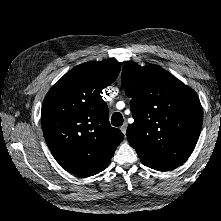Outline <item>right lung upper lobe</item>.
<instances>
[{
  "instance_id": "cb5924a9",
  "label": "right lung upper lobe",
  "mask_w": 221,
  "mask_h": 221,
  "mask_svg": "<svg viewBox=\"0 0 221 221\" xmlns=\"http://www.w3.org/2000/svg\"><path fill=\"white\" fill-rule=\"evenodd\" d=\"M115 60L87 62L67 72L47 93L41 111L46 143L56 161L80 177L100 173L110 163L122 132L110 125L102 89L120 72Z\"/></svg>"
}]
</instances>
